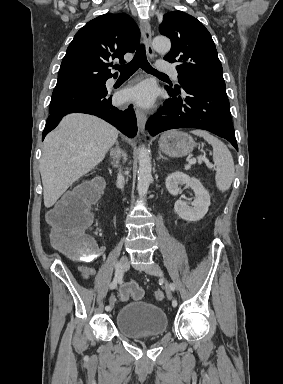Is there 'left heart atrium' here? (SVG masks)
<instances>
[{
	"label": "left heart atrium",
	"instance_id": "1",
	"mask_svg": "<svg viewBox=\"0 0 283 384\" xmlns=\"http://www.w3.org/2000/svg\"><path fill=\"white\" fill-rule=\"evenodd\" d=\"M155 90L149 84H140L126 89L118 95L119 102H135L140 105H148L154 100Z\"/></svg>",
	"mask_w": 283,
	"mask_h": 384
}]
</instances>
